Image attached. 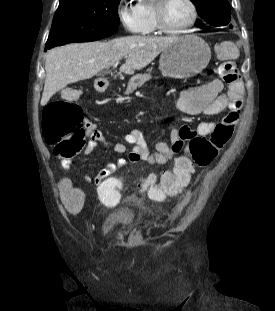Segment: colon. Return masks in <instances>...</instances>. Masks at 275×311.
<instances>
[{
  "label": "colon",
  "instance_id": "1",
  "mask_svg": "<svg viewBox=\"0 0 275 311\" xmlns=\"http://www.w3.org/2000/svg\"><path fill=\"white\" fill-rule=\"evenodd\" d=\"M219 45L216 49L221 55ZM219 74L225 82L234 80L235 66L232 61L224 60L219 65ZM78 91L68 94V98L49 103L43 111V134L46 142L53 147L56 157L72 159L87 146L88 130L85 116L81 107L76 103ZM235 119H220L209 138L193 135L185 145L184 153L175 161L173 171H165L158 184L153 177H148L141 187L149 198L161 202L177 195L188 184L195 168H206L217 159L219 152L230 141L235 126ZM119 180L116 175L103 178L102 183L96 184L100 202L107 204L119 200Z\"/></svg>",
  "mask_w": 275,
  "mask_h": 311
}]
</instances>
